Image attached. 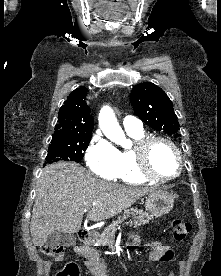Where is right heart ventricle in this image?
<instances>
[{"instance_id":"right-heart-ventricle-1","label":"right heart ventricle","mask_w":221,"mask_h":276,"mask_svg":"<svg viewBox=\"0 0 221 276\" xmlns=\"http://www.w3.org/2000/svg\"><path fill=\"white\" fill-rule=\"evenodd\" d=\"M127 133L135 142L145 137L143 130L127 131ZM115 179L128 184H142L149 181L138 171L134 149L119 151V167Z\"/></svg>"}]
</instances>
